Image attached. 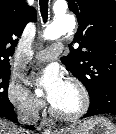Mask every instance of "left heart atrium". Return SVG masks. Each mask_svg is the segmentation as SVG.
I'll use <instances>...</instances> for the list:
<instances>
[{"mask_svg":"<svg viewBox=\"0 0 116 134\" xmlns=\"http://www.w3.org/2000/svg\"><path fill=\"white\" fill-rule=\"evenodd\" d=\"M36 83L43 90L45 99L53 106L61 100L67 87L61 72L53 66L43 69Z\"/></svg>","mask_w":116,"mask_h":134,"instance_id":"1","label":"left heart atrium"}]
</instances>
